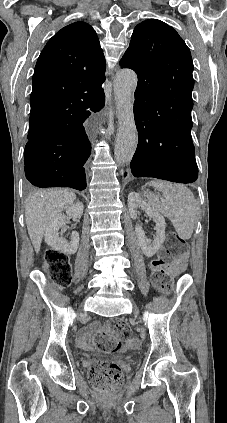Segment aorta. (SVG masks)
I'll return each instance as SVG.
<instances>
[{"label": "aorta", "instance_id": "1", "mask_svg": "<svg viewBox=\"0 0 227 423\" xmlns=\"http://www.w3.org/2000/svg\"><path fill=\"white\" fill-rule=\"evenodd\" d=\"M137 75L130 69L117 73L114 81V93L118 109V133L114 155L120 165L130 163L137 147V129L133 115L134 91Z\"/></svg>", "mask_w": 227, "mask_h": 423}]
</instances>
